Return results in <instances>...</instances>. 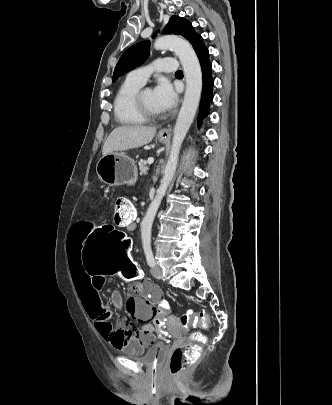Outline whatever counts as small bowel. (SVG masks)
I'll use <instances>...</instances> for the list:
<instances>
[{"label":"small bowel","mask_w":332,"mask_h":405,"mask_svg":"<svg viewBox=\"0 0 332 405\" xmlns=\"http://www.w3.org/2000/svg\"><path fill=\"white\" fill-rule=\"evenodd\" d=\"M85 223L86 221H79L73 225L67 242L69 270L81 303L100 336L111 347L123 349L124 353H147L148 347L158 345L151 318L156 313L152 311L159 310L157 303L162 299V289L150 288L152 283L144 278L142 282H137L138 289H133L132 296L125 302V311H130L139 319L141 327L134 325L131 328H115L110 322L112 312L99 295V291L105 286V276L89 275L82 261L87 237ZM117 224L126 226L127 221H118ZM110 302L114 308L122 305L119 292H111Z\"/></svg>","instance_id":"obj_1"}]
</instances>
